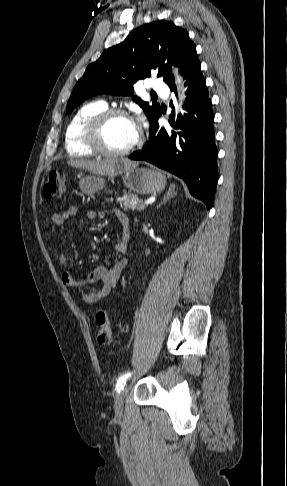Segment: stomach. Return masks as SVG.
I'll return each mask as SVG.
<instances>
[{"label":"stomach","mask_w":287,"mask_h":486,"mask_svg":"<svg viewBox=\"0 0 287 486\" xmlns=\"http://www.w3.org/2000/svg\"><path fill=\"white\" fill-rule=\"evenodd\" d=\"M122 180L130 191L138 194H153L162 191L166 185V177L157 170L148 168H130L122 173ZM105 186V180L96 175H89L79 182L81 191L93 195Z\"/></svg>","instance_id":"0dacf381"}]
</instances>
